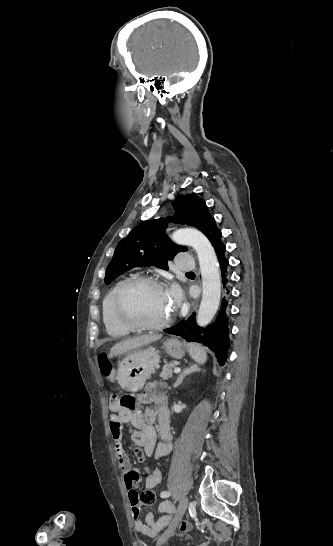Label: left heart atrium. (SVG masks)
Wrapping results in <instances>:
<instances>
[{
    "instance_id": "39dd6f15",
    "label": "left heart atrium",
    "mask_w": 333,
    "mask_h": 546,
    "mask_svg": "<svg viewBox=\"0 0 333 546\" xmlns=\"http://www.w3.org/2000/svg\"><path fill=\"white\" fill-rule=\"evenodd\" d=\"M166 293L173 307L179 305L181 301V295L178 288L172 286L166 290Z\"/></svg>"
}]
</instances>
